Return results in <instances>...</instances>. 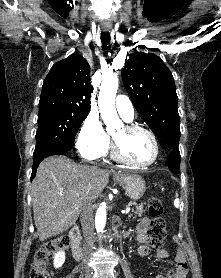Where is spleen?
I'll return each mask as SVG.
<instances>
[{
  "label": "spleen",
  "mask_w": 221,
  "mask_h": 278,
  "mask_svg": "<svg viewBox=\"0 0 221 278\" xmlns=\"http://www.w3.org/2000/svg\"><path fill=\"white\" fill-rule=\"evenodd\" d=\"M179 205H180V200L178 199L177 194H176V199L174 200V206H175L176 208H178Z\"/></svg>",
  "instance_id": "3e777b00"
}]
</instances>
